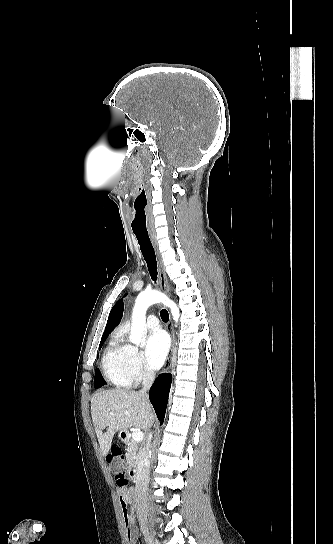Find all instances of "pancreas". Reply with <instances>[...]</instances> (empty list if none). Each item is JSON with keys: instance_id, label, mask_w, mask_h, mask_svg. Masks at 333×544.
Here are the masks:
<instances>
[{"instance_id": "obj_1", "label": "pancreas", "mask_w": 333, "mask_h": 544, "mask_svg": "<svg viewBox=\"0 0 333 544\" xmlns=\"http://www.w3.org/2000/svg\"><path fill=\"white\" fill-rule=\"evenodd\" d=\"M126 442H127V449H126L127 463L130 465H133L137 463L139 459V453H140L139 443L130 438H127Z\"/></svg>"}]
</instances>
